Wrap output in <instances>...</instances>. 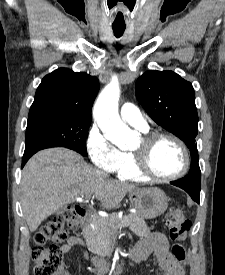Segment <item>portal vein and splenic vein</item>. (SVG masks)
<instances>
[{"instance_id": "1", "label": "portal vein and splenic vein", "mask_w": 225, "mask_h": 275, "mask_svg": "<svg viewBox=\"0 0 225 275\" xmlns=\"http://www.w3.org/2000/svg\"><path fill=\"white\" fill-rule=\"evenodd\" d=\"M82 199L81 198H77V201H81ZM125 223H127V222H125Z\"/></svg>"}]
</instances>
